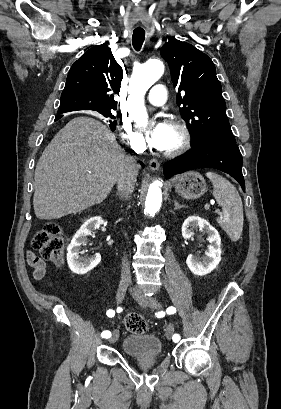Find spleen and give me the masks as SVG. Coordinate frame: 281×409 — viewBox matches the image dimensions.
Instances as JSON below:
<instances>
[{
  "mask_svg": "<svg viewBox=\"0 0 281 409\" xmlns=\"http://www.w3.org/2000/svg\"><path fill=\"white\" fill-rule=\"evenodd\" d=\"M213 184V196L219 207H222V215L218 217L217 223L226 231L231 241L236 243L241 239L243 231V205L241 196L234 184L226 180L217 172H206Z\"/></svg>",
  "mask_w": 281,
  "mask_h": 409,
  "instance_id": "1",
  "label": "spleen"
}]
</instances>
